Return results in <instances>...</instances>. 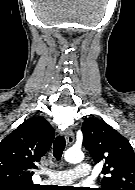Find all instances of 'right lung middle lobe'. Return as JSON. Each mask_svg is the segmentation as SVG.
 <instances>
[{
    "label": "right lung middle lobe",
    "mask_w": 135,
    "mask_h": 190,
    "mask_svg": "<svg viewBox=\"0 0 135 190\" xmlns=\"http://www.w3.org/2000/svg\"><path fill=\"white\" fill-rule=\"evenodd\" d=\"M0 190H37V187L1 184Z\"/></svg>",
    "instance_id": "1"
}]
</instances>
